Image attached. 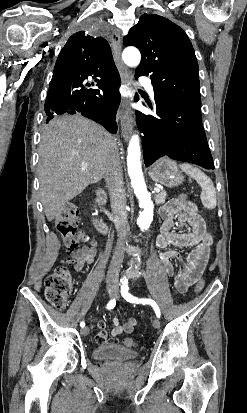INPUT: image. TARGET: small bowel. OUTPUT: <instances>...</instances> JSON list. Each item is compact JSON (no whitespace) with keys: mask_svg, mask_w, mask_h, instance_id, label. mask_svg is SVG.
I'll list each match as a JSON object with an SVG mask.
<instances>
[{"mask_svg":"<svg viewBox=\"0 0 247 413\" xmlns=\"http://www.w3.org/2000/svg\"><path fill=\"white\" fill-rule=\"evenodd\" d=\"M161 215L163 223L160 234L157 237V246L160 249L159 258L167 274L174 277L173 285L176 290L183 293L186 292L189 285L201 277L207 262L205 255L209 251L205 244V239L210 234L207 232L198 207L193 203H168L162 208ZM175 226L178 228L188 227L190 231L175 233L172 231V228ZM170 245L181 248L192 247L193 249L186 258H182L175 251L167 249ZM96 256L97 251L94 248L85 247L78 250L71 256L74 261V270L80 272L85 265L93 263ZM173 258H178L182 263V268L178 272L175 271L172 263ZM103 322L105 323V321ZM113 324L114 328L111 334H109L107 329H100L96 336L98 343L108 341L107 347L109 349H116L118 347V335L121 333H131L138 325V321L130 317L126 323L121 324L119 319L115 317L113 318Z\"/></svg>","mask_w":247,"mask_h":413,"instance_id":"small-bowel-1","label":"small bowel"}]
</instances>
